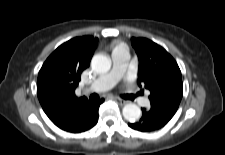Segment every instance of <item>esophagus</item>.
I'll return each instance as SVG.
<instances>
[{
    "label": "esophagus",
    "instance_id": "34e87169",
    "mask_svg": "<svg viewBox=\"0 0 225 155\" xmlns=\"http://www.w3.org/2000/svg\"><path fill=\"white\" fill-rule=\"evenodd\" d=\"M114 100L120 105H125L126 104V101L121 99V98L114 97Z\"/></svg>",
    "mask_w": 225,
    "mask_h": 155
}]
</instances>
